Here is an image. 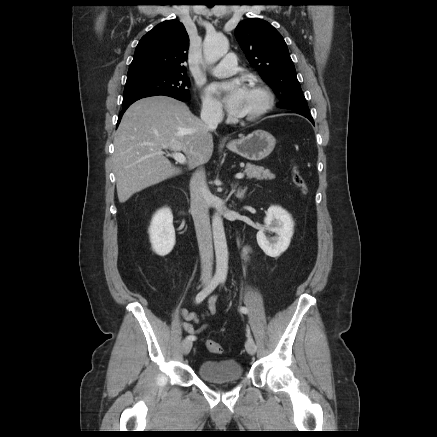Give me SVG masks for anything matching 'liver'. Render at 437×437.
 Masks as SVG:
<instances>
[{
	"mask_svg": "<svg viewBox=\"0 0 437 437\" xmlns=\"http://www.w3.org/2000/svg\"><path fill=\"white\" fill-rule=\"evenodd\" d=\"M210 131L186 104L174 98L153 96L133 103L114 138L112 164L119 202L181 174L163 149L182 151L189 169L207 163L213 153Z\"/></svg>",
	"mask_w": 437,
	"mask_h": 437,
	"instance_id": "6515ba94",
	"label": "liver"
}]
</instances>
